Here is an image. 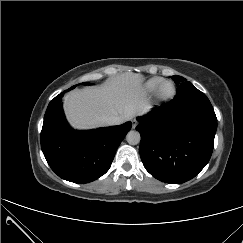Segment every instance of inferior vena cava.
I'll list each match as a JSON object with an SVG mask.
<instances>
[{
	"label": "inferior vena cava",
	"instance_id": "obj_1",
	"mask_svg": "<svg viewBox=\"0 0 243 243\" xmlns=\"http://www.w3.org/2000/svg\"><path fill=\"white\" fill-rule=\"evenodd\" d=\"M121 123H123V119L119 116H110L106 118L107 125H119Z\"/></svg>",
	"mask_w": 243,
	"mask_h": 243
}]
</instances>
